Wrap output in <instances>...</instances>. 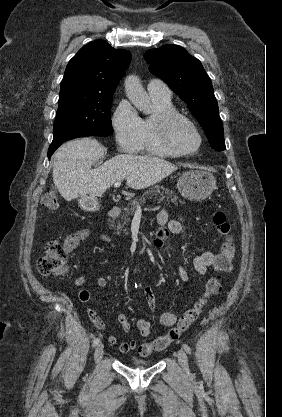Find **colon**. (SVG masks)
Wrapping results in <instances>:
<instances>
[{"label": "colon", "instance_id": "colon-1", "mask_svg": "<svg viewBox=\"0 0 282 417\" xmlns=\"http://www.w3.org/2000/svg\"><path fill=\"white\" fill-rule=\"evenodd\" d=\"M42 203L48 211H54L59 206V195L52 187H47L42 195ZM216 229L222 237V244L215 259V266L227 271L232 267L235 256V242L231 235V225L222 212L214 215ZM37 270L41 274L63 277L68 275V265L66 261V248L57 242L46 243V253L37 264ZM222 289L220 277H213L207 280L202 291L201 299L187 310L177 324L167 330L163 339H155L151 347H141V356H152L153 353H163L167 344H175L180 339L181 334L194 322L203 311L208 299L218 295Z\"/></svg>", "mask_w": 282, "mask_h": 417}]
</instances>
